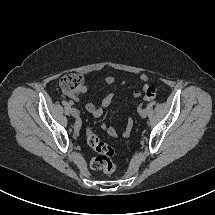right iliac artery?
<instances>
[{"instance_id":"right-iliac-artery-1","label":"right iliac artery","mask_w":215,"mask_h":215,"mask_svg":"<svg viewBox=\"0 0 215 215\" xmlns=\"http://www.w3.org/2000/svg\"><path fill=\"white\" fill-rule=\"evenodd\" d=\"M70 106H72L73 105V102L72 101H69V103H68Z\"/></svg>"}]
</instances>
